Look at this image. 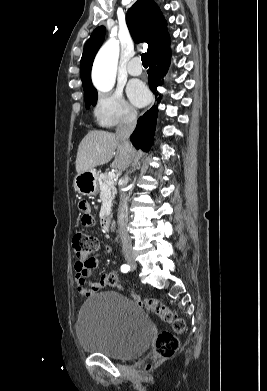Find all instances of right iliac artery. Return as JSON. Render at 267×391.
I'll list each match as a JSON object with an SVG mask.
<instances>
[{
	"instance_id": "82829eb1",
	"label": "right iliac artery",
	"mask_w": 267,
	"mask_h": 391,
	"mask_svg": "<svg viewBox=\"0 0 267 391\" xmlns=\"http://www.w3.org/2000/svg\"><path fill=\"white\" fill-rule=\"evenodd\" d=\"M129 270H130V267H129L128 265L125 264V265H122V266H121V271H122V272L125 273V272H128Z\"/></svg>"
}]
</instances>
